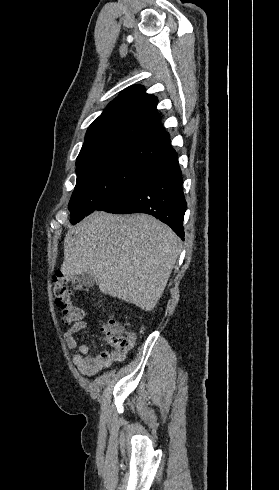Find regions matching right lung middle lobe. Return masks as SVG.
Here are the masks:
<instances>
[{"mask_svg":"<svg viewBox=\"0 0 279 490\" xmlns=\"http://www.w3.org/2000/svg\"><path fill=\"white\" fill-rule=\"evenodd\" d=\"M155 167V163L113 159L77 168V183L69 202L70 222L76 224L96 210L110 194L140 181Z\"/></svg>","mask_w":279,"mask_h":490,"instance_id":"obj_1","label":"right lung middle lobe"}]
</instances>
